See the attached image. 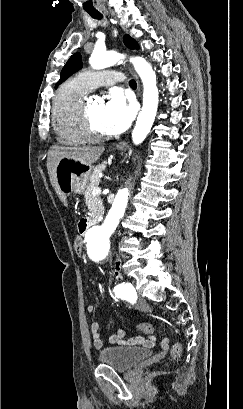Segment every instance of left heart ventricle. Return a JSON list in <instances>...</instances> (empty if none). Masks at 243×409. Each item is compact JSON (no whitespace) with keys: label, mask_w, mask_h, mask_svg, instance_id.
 <instances>
[{"label":"left heart ventricle","mask_w":243,"mask_h":409,"mask_svg":"<svg viewBox=\"0 0 243 409\" xmlns=\"http://www.w3.org/2000/svg\"><path fill=\"white\" fill-rule=\"evenodd\" d=\"M89 117L93 127L100 133H103L101 115L104 108V103L100 101L90 102L87 104Z\"/></svg>","instance_id":"1"}]
</instances>
